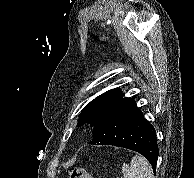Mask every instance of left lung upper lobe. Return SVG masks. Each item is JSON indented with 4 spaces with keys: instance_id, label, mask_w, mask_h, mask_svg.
Segmentation results:
<instances>
[{
    "instance_id": "1",
    "label": "left lung upper lobe",
    "mask_w": 194,
    "mask_h": 178,
    "mask_svg": "<svg viewBox=\"0 0 194 178\" xmlns=\"http://www.w3.org/2000/svg\"><path fill=\"white\" fill-rule=\"evenodd\" d=\"M124 99L127 98H123V93L119 88L109 90L99 95L83 108L77 125L81 126L87 123L94 128L101 118Z\"/></svg>"
}]
</instances>
